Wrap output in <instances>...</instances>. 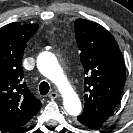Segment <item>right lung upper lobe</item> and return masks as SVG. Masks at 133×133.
<instances>
[{
    "mask_svg": "<svg viewBox=\"0 0 133 133\" xmlns=\"http://www.w3.org/2000/svg\"><path fill=\"white\" fill-rule=\"evenodd\" d=\"M38 24L14 22L0 28V127L17 129L28 123L41 102L23 82L22 57Z\"/></svg>",
    "mask_w": 133,
    "mask_h": 133,
    "instance_id": "obj_1",
    "label": "right lung upper lobe"
}]
</instances>
